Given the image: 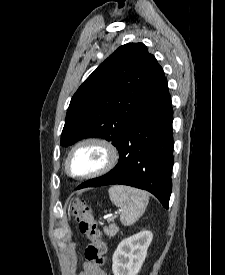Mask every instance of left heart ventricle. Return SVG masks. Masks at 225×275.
<instances>
[{"label": "left heart ventricle", "instance_id": "obj_1", "mask_svg": "<svg viewBox=\"0 0 225 275\" xmlns=\"http://www.w3.org/2000/svg\"><path fill=\"white\" fill-rule=\"evenodd\" d=\"M103 152L93 146L76 151L70 161L71 170L75 174H83L98 168L103 163Z\"/></svg>", "mask_w": 225, "mask_h": 275}]
</instances>
